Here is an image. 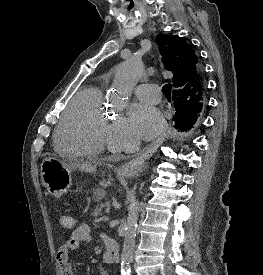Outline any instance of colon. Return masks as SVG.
Wrapping results in <instances>:
<instances>
[{
	"mask_svg": "<svg viewBox=\"0 0 263 275\" xmlns=\"http://www.w3.org/2000/svg\"><path fill=\"white\" fill-rule=\"evenodd\" d=\"M60 225L65 230H70L75 225V220L70 215H62L59 219Z\"/></svg>",
	"mask_w": 263,
	"mask_h": 275,
	"instance_id": "colon-1",
	"label": "colon"
}]
</instances>
